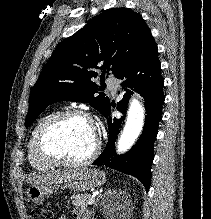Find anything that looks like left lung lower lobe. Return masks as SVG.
<instances>
[{"instance_id":"1","label":"left lung lower lobe","mask_w":211,"mask_h":219,"mask_svg":"<svg viewBox=\"0 0 211 219\" xmlns=\"http://www.w3.org/2000/svg\"><path fill=\"white\" fill-rule=\"evenodd\" d=\"M156 43L150 35L143 47L131 62L116 76L122 82L119 94L123 99L117 104V109L125 113L128 99L134 90L139 92L145 102V125L137 143L127 153L117 156L114 145L121 123L124 120L112 117L108 118L109 138L101 155L92 163L93 165H105L120 172L135 176L149 190L151 183V164L153 161V145L157 136V128L162 118L161 107L164 103L161 65L157 56ZM111 105L104 116L108 117Z\"/></svg>"}]
</instances>
